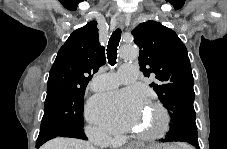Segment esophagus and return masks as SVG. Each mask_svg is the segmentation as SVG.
<instances>
[{"label": "esophagus", "mask_w": 227, "mask_h": 149, "mask_svg": "<svg viewBox=\"0 0 227 149\" xmlns=\"http://www.w3.org/2000/svg\"><path fill=\"white\" fill-rule=\"evenodd\" d=\"M118 22H119L120 24H122V23L124 22V18L119 17V18H118Z\"/></svg>", "instance_id": "esophagus-1"}]
</instances>
